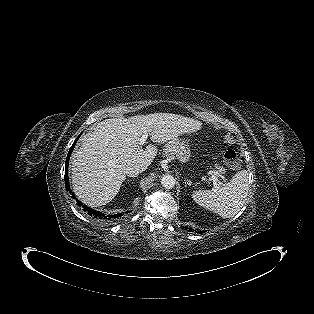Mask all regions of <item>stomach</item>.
Listing matches in <instances>:
<instances>
[{
  "label": "stomach",
  "mask_w": 314,
  "mask_h": 314,
  "mask_svg": "<svg viewBox=\"0 0 314 314\" xmlns=\"http://www.w3.org/2000/svg\"><path fill=\"white\" fill-rule=\"evenodd\" d=\"M165 154L174 155L181 162L185 163L189 160L191 151L187 140L178 136L168 141L165 147Z\"/></svg>",
  "instance_id": "0dacf381"
}]
</instances>
